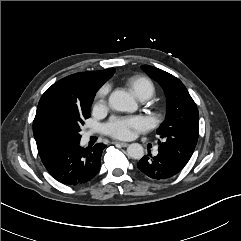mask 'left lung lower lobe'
<instances>
[{"instance_id":"obj_1","label":"left lung lower lobe","mask_w":241,"mask_h":241,"mask_svg":"<svg viewBox=\"0 0 241 241\" xmlns=\"http://www.w3.org/2000/svg\"><path fill=\"white\" fill-rule=\"evenodd\" d=\"M137 166L143 174L155 180L171 178L184 167L171 155L161 150H158V154L153 157L148 153L137 163Z\"/></svg>"}]
</instances>
